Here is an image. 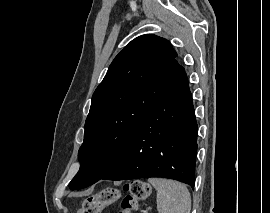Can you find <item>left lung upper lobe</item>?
<instances>
[{
	"instance_id": "1",
	"label": "left lung upper lobe",
	"mask_w": 270,
	"mask_h": 213,
	"mask_svg": "<svg viewBox=\"0 0 270 213\" xmlns=\"http://www.w3.org/2000/svg\"><path fill=\"white\" fill-rule=\"evenodd\" d=\"M176 56L166 39L142 35L115 57L92 96L80 169L70 189L90 186L109 173L138 125L185 73Z\"/></svg>"
}]
</instances>
